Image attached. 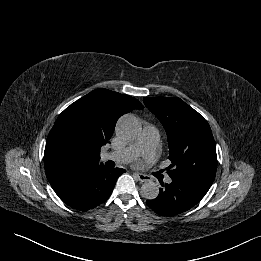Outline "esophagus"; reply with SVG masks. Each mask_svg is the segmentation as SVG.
<instances>
[{"instance_id": "obj_1", "label": "esophagus", "mask_w": 261, "mask_h": 261, "mask_svg": "<svg viewBox=\"0 0 261 261\" xmlns=\"http://www.w3.org/2000/svg\"><path fill=\"white\" fill-rule=\"evenodd\" d=\"M135 176L140 182H147L150 179L149 176L144 175L142 173H135Z\"/></svg>"}]
</instances>
